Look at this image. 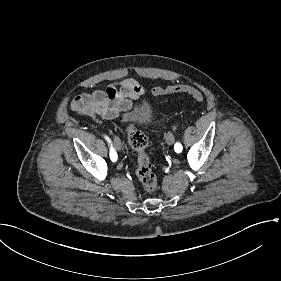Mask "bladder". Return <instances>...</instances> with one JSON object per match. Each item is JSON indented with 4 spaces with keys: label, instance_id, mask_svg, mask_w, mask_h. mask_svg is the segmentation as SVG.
I'll return each mask as SVG.
<instances>
[{
    "label": "bladder",
    "instance_id": "31cf9c89",
    "mask_svg": "<svg viewBox=\"0 0 281 281\" xmlns=\"http://www.w3.org/2000/svg\"><path fill=\"white\" fill-rule=\"evenodd\" d=\"M156 117L152 104L148 100H140L120 112L119 123L125 133L135 127L150 129L154 126Z\"/></svg>",
    "mask_w": 281,
    "mask_h": 281
}]
</instances>
